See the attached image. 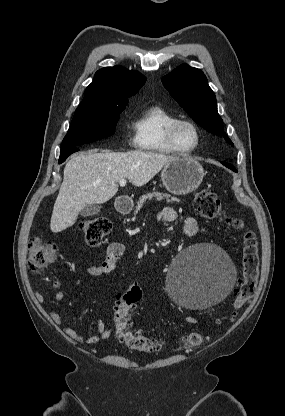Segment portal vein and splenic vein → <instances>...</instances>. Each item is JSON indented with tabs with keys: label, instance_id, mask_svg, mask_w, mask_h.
Masks as SVG:
<instances>
[{
	"label": "portal vein and splenic vein",
	"instance_id": "obj_1",
	"mask_svg": "<svg viewBox=\"0 0 285 416\" xmlns=\"http://www.w3.org/2000/svg\"><path fill=\"white\" fill-rule=\"evenodd\" d=\"M119 186H121V188H124V186H126V180H119Z\"/></svg>",
	"mask_w": 285,
	"mask_h": 416
}]
</instances>
